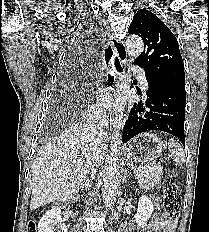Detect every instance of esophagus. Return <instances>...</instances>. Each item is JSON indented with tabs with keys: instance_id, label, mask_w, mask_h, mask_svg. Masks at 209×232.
I'll list each match as a JSON object with an SVG mask.
<instances>
[{
	"instance_id": "34e87169",
	"label": "esophagus",
	"mask_w": 209,
	"mask_h": 232,
	"mask_svg": "<svg viewBox=\"0 0 209 232\" xmlns=\"http://www.w3.org/2000/svg\"><path fill=\"white\" fill-rule=\"evenodd\" d=\"M111 45L113 47L115 55L118 57L121 63H125L127 59V49L122 41L112 36L110 38ZM118 75L115 72V69L109 65L108 79L107 83L109 86H113L117 81Z\"/></svg>"
}]
</instances>
